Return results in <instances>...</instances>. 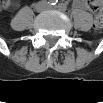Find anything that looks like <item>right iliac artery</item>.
Wrapping results in <instances>:
<instances>
[{
  "mask_svg": "<svg viewBox=\"0 0 103 103\" xmlns=\"http://www.w3.org/2000/svg\"><path fill=\"white\" fill-rule=\"evenodd\" d=\"M57 2H58L57 0H50V1H49L50 5H53V6L56 5Z\"/></svg>",
  "mask_w": 103,
  "mask_h": 103,
  "instance_id": "1",
  "label": "right iliac artery"
}]
</instances>
